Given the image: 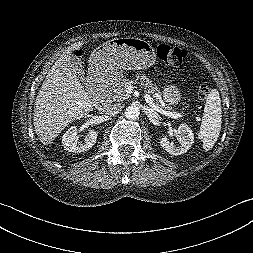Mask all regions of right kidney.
I'll return each mask as SVG.
<instances>
[{
    "label": "right kidney",
    "mask_w": 253,
    "mask_h": 253,
    "mask_svg": "<svg viewBox=\"0 0 253 253\" xmlns=\"http://www.w3.org/2000/svg\"><path fill=\"white\" fill-rule=\"evenodd\" d=\"M76 127H70L62 137V144L69 152H84L92 148L97 140L98 132L90 130L84 139V143L78 142Z\"/></svg>",
    "instance_id": "1"
}]
</instances>
